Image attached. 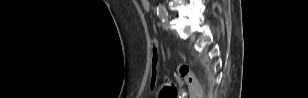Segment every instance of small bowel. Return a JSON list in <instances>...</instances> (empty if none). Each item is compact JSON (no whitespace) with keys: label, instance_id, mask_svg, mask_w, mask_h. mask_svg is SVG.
Returning <instances> with one entry per match:
<instances>
[{"label":"small bowel","instance_id":"c3829d8e","mask_svg":"<svg viewBox=\"0 0 308 98\" xmlns=\"http://www.w3.org/2000/svg\"><path fill=\"white\" fill-rule=\"evenodd\" d=\"M141 5H142L143 10H144L145 12H149V11H150L151 6H150V3H149L148 0H141ZM166 82H167V81H166Z\"/></svg>","mask_w":308,"mask_h":98}]
</instances>
